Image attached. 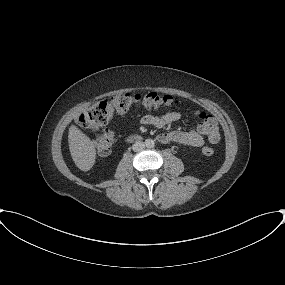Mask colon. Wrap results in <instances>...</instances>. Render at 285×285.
<instances>
[{"mask_svg":"<svg viewBox=\"0 0 285 285\" xmlns=\"http://www.w3.org/2000/svg\"><path fill=\"white\" fill-rule=\"evenodd\" d=\"M178 103L179 101L171 96L159 95L155 92L144 94L124 92L87 109L78 116L77 122L84 129L98 131L110 121L115 113L125 114L132 108L158 110ZM196 115L199 118V130L207 135L210 142L217 143L220 140V129L217 120L203 112H196ZM113 142V133L108 129H103L96 141L98 155H108ZM202 152L206 156H211L214 150L210 146H205Z\"/></svg>","mask_w":285,"mask_h":285,"instance_id":"1","label":"colon"}]
</instances>
